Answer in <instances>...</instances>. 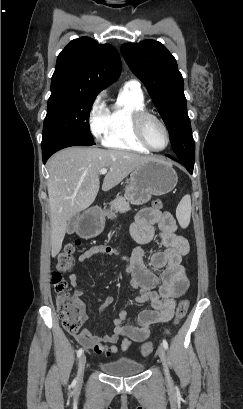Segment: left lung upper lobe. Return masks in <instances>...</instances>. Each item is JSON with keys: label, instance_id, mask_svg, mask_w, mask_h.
<instances>
[{"label": "left lung upper lobe", "instance_id": "obj_1", "mask_svg": "<svg viewBox=\"0 0 243 409\" xmlns=\"http://www.w3.org/2000/svg\"><path fill=\"white\" fill-rule=\"evenodd\" d=\"M121 53L132 72L144 83L168 131L177 159L194 164L192 137L183 78L172 54L160 42L126 43Z\"/></svg>", "mask_w": 243, "mask_h": 409}]
</instances>
